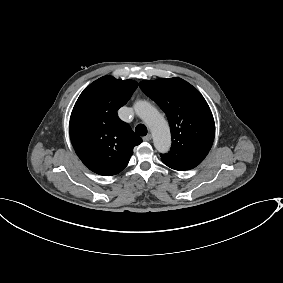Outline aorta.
I'll list each match as a JSON object with an SVG mask.
<instances>
[{"mask_svg":"<svg viewBox=\"0 0 283 283\" xmlns=\"http://www.w3.org/2000/svg\"><path fill=\"white\" fill-rule=\"evenodd\" d=\"M134 109L149 127L155 148L160 153H166L171 146V134L166 119L147 101L136 102Z\"/></svg>","mask_w":283,"mask_h":283,"instance_id":"obj_1","label":"aorta"}]
</instances>
